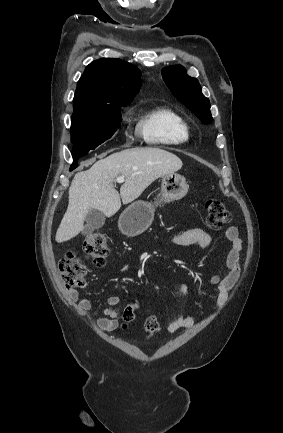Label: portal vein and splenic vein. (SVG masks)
I'll use <instances>...</instances> for the list:
<instances>
[{"label":"portal vein and splenic vein","mask_w":283,"mask_h":433,"mask_svg":"<svg viewBox=\"0 0 283 433\" xmlns=\"http://www.w3.org/2000/svg\"><path fill=\"white\" fill-rule=\"evenodd\" d=\"M116 180L117 182H124L125 176H117Z\"/></svg>","instance_id":"1"}]
</instances>
